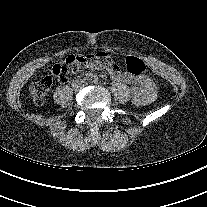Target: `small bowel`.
Listing matches in <instances>:
<instances>
[{"instance_id": "obj_1", "label": "small bowel", "mask_w": 207, "mask_h": 207, "mask_svg": "<svg viewBox=\"0 0 207 207\" xmlns=\"http://www.w3.org/2000/svg\"><path fill=\"white\" fill-rule=\"evenodd\" d=\"M93 68V67H92ZM99 70H105L116 81L122 83L135 82L137 85L130 89V96L133 102L139 106H146L152 103L156 97V85L154 81L148 76H142L134 78L133 76L125 73L121 70L120 66L113 64L107 68H94ZM59 83L68 82L67 75H62L57 78Z\"/></svg>"}]
</instances>
